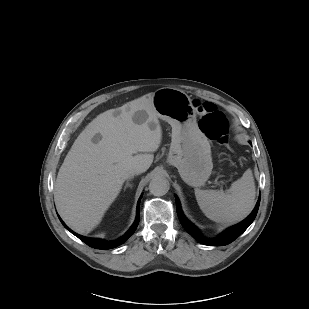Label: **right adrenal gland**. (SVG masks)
Listing matches in <instances>:
<instances>
[{
  "instance_id": "obj_1",
  "label": "right adrenal gland",
  "mask_w": 309,
  "mask_h": 309,
  "mask_svg": "<svg viewBox=\"0 0 309 309\" xmlns=\"http://www.w3.org/2000/svg\"><path fill=\"white\" fill-rule=\"evenodd\" d=\"M131 179H133V177H130V178L127 180L126 185H125V187H124V190H126V188H128V187L132 188V184L129 183V181H131Z\"/></svg>"
}]
</instances>
